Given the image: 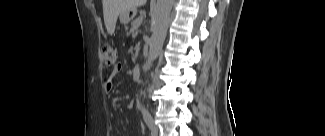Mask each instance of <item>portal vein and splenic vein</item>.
I'll return each mask as SVG.
<instances>
[{"mask_svg":"<svg viewBox=\"0 0 325 136\" xmlns=\"http://www.w3.org/2000/svg\"><path fill=\"white\" fill-rule=\"evenodd\" d=\"M142 22V17L138 20V24H140Z\"/></svg>","mask_w":325,"mask_h":136,"instance_id":"1","label":"portal vein and splenic vein"}]
</instances>
